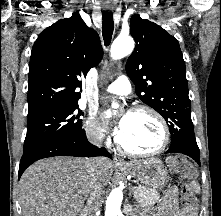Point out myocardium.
Instances as JSON below:
<instances>
[{
    "label": "myocardium",
    "mask_w": 221,
    "mask_h": 216,
    "mask_svg": "<svg viewBox=\"0 0 221 216\" xmlns=\"http://www.w3.org/2000/svg\"><path fill=\"white\" fill-rule=\"evenodd\" d=\"M130 112L131 113L145 112V113L152 115L161 126V130L163 134L162 141L159 144V146L155 148L154 150L141 152V151H135V150L127 148L118 138L116 141L118 149L122 151L123 153L129 156H133V157H150V156L157 155L161 153L162 151H164L170 141V129L165 118L162 116V114L159 111H157L155 108L148 106V105H136L130 110Z\"/></svg>",
    "instance_id": "f54148a6"
}]
</instances>
